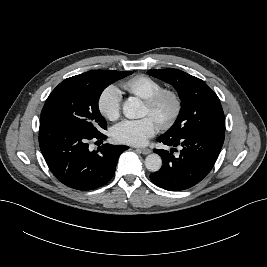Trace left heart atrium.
Here are the masks:
<instances>
[{
  "label": "left heart atrium",
  "instance_id": "39dd6f15",
  "mask_svg": "<svg viewBox=\"0 0 267 267\" xmlns=\"http://www.w3.org/2000/svg\"><path fill=\"white\" fill-rule=\"evenodd\" d=\"M158 124L150 116L140 119L123 120L111 131L113 139L119 143L141 146L157 132Z\"/></svg>",
  "mask_w": 267,
  "mask_h": 267
}]
</instances>
